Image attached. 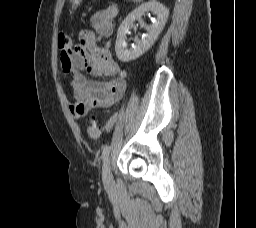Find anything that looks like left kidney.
Returning a JSON list of instances; mask_svg holds the SVG:
<instances>
[{"mask_svg":"<svg viewBox=\"0 0 256 228\" xmlns=\"http://www.w3.org/2000/svg\"><path fill=\"white\" fill-rule=\"evenodd\" d=\"M152 11L157 19L150 26H145L147 33L141 40H136L131 49H127L126 34L133 27V22L140 19L145 12ZM169 16V10L163 4L152 0L141 4L133 10L121 23L117 32L115 51L117 58L122 62H129L143 55L156 41L163 30Z\"/></svg>","mask_w":256,"mask_h":228,"instance_id":"5707ae66","label":"left kidney"}]
</instances>
